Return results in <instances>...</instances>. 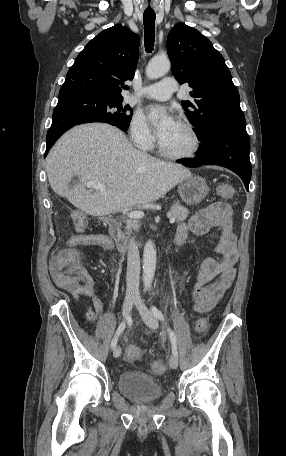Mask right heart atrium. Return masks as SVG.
I'll list each match as a JSON object with an SVG mask.
<instances>
[{"mask_svg":"<svg viewBox=\"0 0 286 456\" xmlns=\"http://www.w3.org/2000/svg\"><path fill=\"white\" fill-rule=\"evenodd\" d=\"M130 138L141 150H149L154 145V136L142 114H135L130 122Z\"/></svg>","mask_w":286,"mask_h":456,"instance_id":"right-heart-atrium-1","label":"right heart atrium"}]
</instances>
